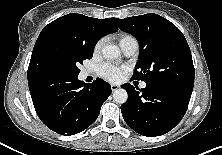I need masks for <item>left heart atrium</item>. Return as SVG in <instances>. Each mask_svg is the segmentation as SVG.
I'll return each mask as SVG.
<instances>
[{"mask_svg":"<svg viewBox=\"0 0 222 155\" xmlns=\"http://www.w3.org/2000/svg\"><path fill=\"white\" fill-rule=\"evenodd\" d=\"M124 70L125 68L105 63L99 68V74L102 78L114 82L120 80Z\"/></svg>","mask_w":222,"mask_h":155,"instance_id":"left-heart-atrium-1","label":"left heart atrium"}]
</instances>
